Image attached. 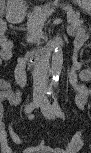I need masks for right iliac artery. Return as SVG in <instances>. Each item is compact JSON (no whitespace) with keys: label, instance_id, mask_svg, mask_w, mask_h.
<instances>
[{"label":"right iliac artery","instance_id":"obj_1","mask_svg":"<svg viewBox=\"0 0 91 153\" xmlns=\"http://www.w3.org/2000/svg\"><path fill=\"white\" fill-rule=\"evenodd\" d=\"M34 109V106L32 103L28 104L25 111L26 113H30Z\"/></svg>","mask_w":91,"mask_h":153}]
</instances>
